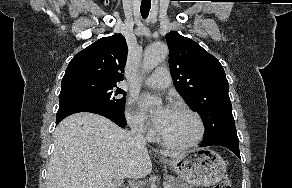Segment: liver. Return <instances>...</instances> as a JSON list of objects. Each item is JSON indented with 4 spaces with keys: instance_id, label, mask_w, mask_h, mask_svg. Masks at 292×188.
<instances>
[{
    "instance_id": "1",
    "label": "liver",
    "mask_w": 292,
    "mask_h": 188,
    "mask_svg": "<svg viewBox=\"0 0 292 188\" xmlns=\"http://www.w3.org/2000/svg\"><path fill=\"white\" fill-rule=\"evenodd\" d=\"M47 188H112L113 179H140L151 173L149 151L132 145L125 130L92 113H76L54 132ZM175 158L181 152L161 151Z\"/></svg>"
}]
</instances>
